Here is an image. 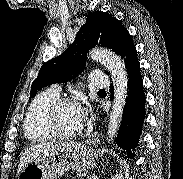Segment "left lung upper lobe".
I'll list each match as a JSON object with an SVG mask.
<instances>
[{
	"label": "left lung upper lobe",
	"instance_id": "5c2ea615",
	"mask_svg": "<svg viewBox=\"0 0 183 179\" xmlns=\"http://www.w3.org/2000/svg\"><path fill=\"white\" fill-rule=\"evenodd\" d=\"M126 32L128 31L122 23L107 12L96 11L89 14L75 41L62 54L41 67L32 83L30 98L45 86L65 83L77 77L85 68L89 49L96 45L110 48L116 53ZM105 73L109 74L107 71Z\"/></svg>",
	"mask_w": 183,
	"mask_h": 179
}]
</instances>
